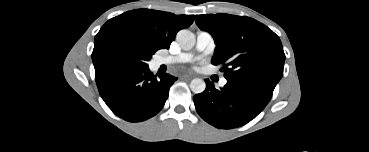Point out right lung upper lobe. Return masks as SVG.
<instances>
[{"label": "right lung upper lobe", "mask_w": 369, "mask_h": 152, "mask_svg": "<svg viewBox=\"0 0 369 152\" xmlns=\"http://www.w3.org/2000/svg\"><path fill=\"white\" fill-rule=\"evenodd\" d=\"M194 17V15L177 16L151 9H136L107 21L98 35L107 33L128 38L156 52L162 48L168 49L176 33L189 27Z\"/></svg>", "instance_id": "1"}]
</instances>
